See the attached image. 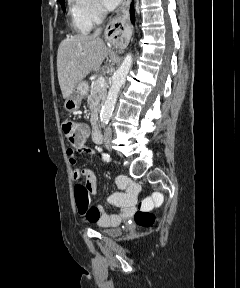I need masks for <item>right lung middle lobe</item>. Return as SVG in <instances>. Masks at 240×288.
Instances as JSON below:
<instances>
[{
    "instance_id": "obj_1",
    "label": "right lung middle lobe",
    "mask_w": 240,
    "mask_h": 288,
    "mask_svg": "<svg viewBox=\"0 0 240 288\" xmlns=\"http://www.w3.org/2000/svg\"><path fill=\"white\" fill-rule=\"evenodd\" d=\"M62 3V9L64 10V0H58Z\"/></svg>"
}]
</instances>
